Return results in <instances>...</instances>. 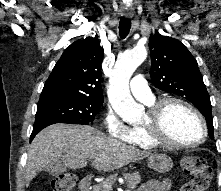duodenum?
Listing matches in <instances>:
<instances>
[{
  "label": "duodenum",
  "instance_id": "duodenum-1",
  "mask_svg": "<svg viewBox=\"0 0 221 191\" xmlns=\"http://www.w3.org/2000/svg\"><path fill=\"white\" fill-rule=\"evenodd\" d=\"M93 181H94L93 176L91 175L85 176L79 184V190L88 191L91 188Z\"/></svg>",
  "mask_w": 221,
  "mask_h": 191
}]
</instances>
